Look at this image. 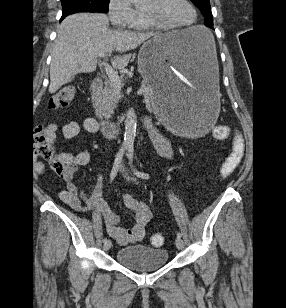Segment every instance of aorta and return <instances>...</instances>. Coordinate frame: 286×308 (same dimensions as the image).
Masks as SVG:
<instances>
[{
    "mask_svg": "<svg viewBox=\"0 0 286 308\" xmlns=\"http://www.w3.org/2000/svg\"><path fill=\"white\" fill-rule=\"evenodd\" d=\"M129 2L139 4L146 2V0H128ZM136 113L133 108H130L127 111L126 120H125V134H124V145L126 147H132L134 144L136 136Z\"/></svg>",
    "mask_w": 286,
    "mask_h": 308,
    "instance_id": "1",
    "label": "aorta"
}]
</instances>
